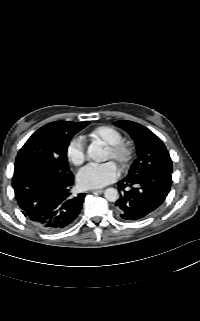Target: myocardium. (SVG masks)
<instances>
[{
    "mask_svg": "<svg viewBox=\"0 0 200 321\" xmlns=\"http://www.w3.org/2000/svg\"><path fill=\"white\" fill-rule=\"evenodd\" d=\"M107 150L111 153L112 158L121 167L128 166L134 158V147L127 140H120L107 146Z\"/></svg>",
    "mask_w": 200,
    "mask_h": 321,
    "instance_id": "f54148a6",
    "label": "myocardium"
}]
</instances>
